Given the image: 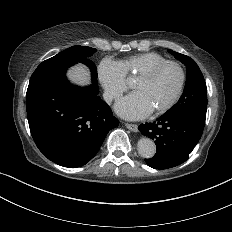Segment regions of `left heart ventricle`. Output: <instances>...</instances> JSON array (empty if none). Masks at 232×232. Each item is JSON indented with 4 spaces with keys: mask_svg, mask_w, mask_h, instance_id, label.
<instances>
[{
    "mask_svg": "<svg viewBox=\"0 0 232 232\" xmlns=\"http://www.w3.org/2000/svg\"><path fill=\"white\" fill-rule=\"evenodd\" d=\"M181 83V74L177 67L168 65L148 81L135 80L133 88L140 92L155 110L171 101Z\"/></svg>",
    "mask_w": 232,
    "mask_h": 232,
    "instance_id": "obj_1",
    "label": "left heart ventricle"
}]
</instances>
